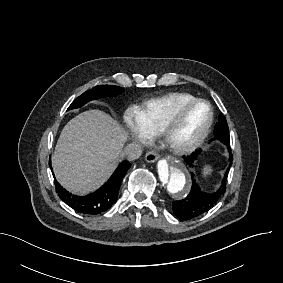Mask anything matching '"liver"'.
Segmentation results:
<instances>
[{
	"label": "liver",
	"instance_id": "6515ba94",
	"mask_svg": "<svg viewBox=\"0 0 283 283\" xmlns=\"http://www.w3.org/2000/svg\"><path fill=\"white\" fill-rule=\"evenodd\" d=\"M128 132L109 114L89 110L62 129L52 156L57 181L80 196L103 185L121 161Z\"/></svg>",
	"mask_w": 283,
	"mask_h": 283
}]
</instances>
